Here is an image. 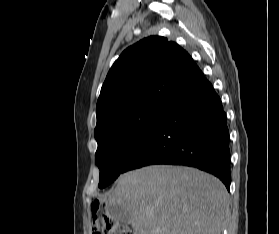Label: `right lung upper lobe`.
I'll return each instance as SVG.
<instances>
[{
	"label": "right lung upper lobe",
	"mask_w": 279,
	"mask_h": 234,
	"mask_svg": "<svg viewBox=\"0 0 279 234\" xmlns=\"http://www.w3.org/2000/svg\"><path fill=\"white\" fill-rule=\"evenodd\" d=\"M202 73L191 56L165 37L150 36L114 62L97 102L98 129L110 119L147 106L167 107Z\"/></svg>",
	"instance_id": "obj_1"
}]
</instances>
